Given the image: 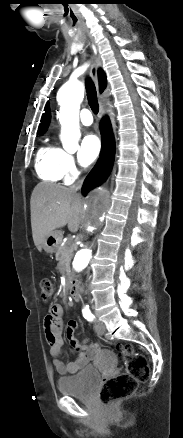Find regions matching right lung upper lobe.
Wrapping results in <instances>:
<instances>
[{"mask_svg": "<svg viewBox=\"0 0 183 438\" xmlns=\"http://www.w3.org/2000/svg\"><path fill=\"white\" fill-rule=\"evenodd\" d=\"M98 76H99L100 90L103 91L106 86V77L102 70H99ZM44 111L45 113L42 115L41 123L39 125V133H43L47 129L50 121V111L48 104H46Z\"/></svg>", "mask_w": 183, "mask_h": 438, "instance_id": "cb5924a9", "label": "right lung upper lobe"}]
</instances>
